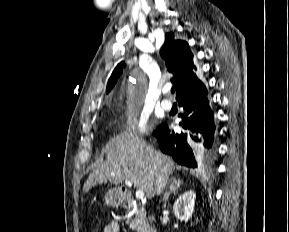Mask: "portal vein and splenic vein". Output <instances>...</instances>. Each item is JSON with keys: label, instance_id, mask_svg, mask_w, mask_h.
I'll return each instance as SVG.
<instances>
[{"label": "portal vein and splenic vein", "instance_id": "obj_1", "mask_svg": "<svg viewBox=\"0 0 289 232\" xmlns=\"http://www.w3.org/2000/svg\"><path fill=\"white\" fill-rule=\"evenodd\" d=\"M125 184H126L127 186H129V187L132 186V182L129 181V180H125ZM136 198L142 200V199L144 198V191L141 190V189H138V190L136 191Z\"/></svg>", "mask_w": 289, "mask_h": 232}]
</instances>
